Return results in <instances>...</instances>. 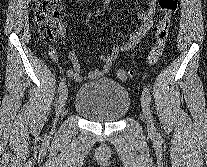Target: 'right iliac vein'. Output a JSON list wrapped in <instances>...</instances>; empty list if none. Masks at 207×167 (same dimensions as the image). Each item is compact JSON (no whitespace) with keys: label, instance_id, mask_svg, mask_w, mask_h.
<instances>
[{"label":"right iliac vein","instance_id":"right-iliac-vein-1","mask_svg":"<svg viewBox=\"0 0 207 167\" xmlns=\"http://www.w3.org/2000/svg\"><path fill=\"white\" fill-rule=\"evenodd\" d=\"M67 97H68V89L65 87L63 89V91L60 93V96H59V99H58V105H57V112H56L55 121H57V119L59 117V114H60L61 110L63 109L65 103H66Z\"/></svg>","mask_w":207,"mask_h":167}]
</instances>
